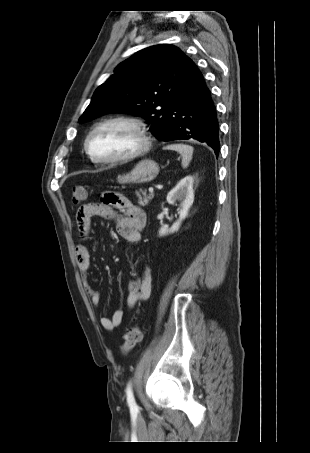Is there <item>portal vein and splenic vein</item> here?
<instances>
[{
    "label": "portal vein and splenic vein",
    "instance_id": "1",
    "mask_svg": "<svg viewBox=\"0 0 310 453\" xmlns=\"http://www.w3.org/2000/svg\"><path fill=\"white\" fill-rule=\"evenodd\" d=\"M149 192L153 193L154 192V188L153 187H149Z\"/></svg>",
    "mask_w": 310,
    "mask_h": 453
}]
</instances>
